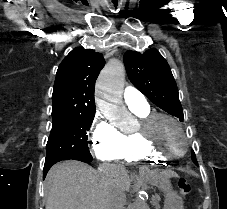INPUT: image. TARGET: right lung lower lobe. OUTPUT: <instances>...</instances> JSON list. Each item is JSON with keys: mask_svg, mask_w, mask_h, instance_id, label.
I'll return each mask as SVG.
<instances>
[{"mask_svg": "<svg viewBox=\"0 0 227 209\" xmlns=\"http://www.w3.org/2000/svg\"><path fill=\"white\" fill-rule=\"evenodd\" d=\"M69 159H75V160H79V161H82V162H85V163H89V162L92 161V159L65 157V158H61V159H58V160L54 161V162L49 166V169H50V167H51L52 165H54L55 163H57V162H59V161H61V160H69ZM49 169H48V170H49ZM47 172H48V171H47ZM47 172H44V171H43L44 176L47 174Z\"/></svg>", "mask_w": 227, "mask_h": 209, "instance_id": "obj_1", "label": "right lung lower lobe"}]
</instances>
